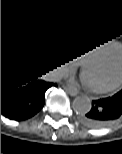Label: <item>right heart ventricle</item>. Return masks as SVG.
<instances>
[{
    "instance_id": "right-heart-ventricle-1",
    "label": "right heart ventricle",
    "mask_w": 122,
    "mask_h": 154,
    "mask_svg": "<svg viewBox=\"0 0 122 154\" xmlns=\"http://www.w3.org/2000/svg\"><path fill=\"white\" fill-rule=\"evenodd\" d=\"M110 45L111 43L109 42L88 43L87 45L76 47L75 49L72 50V53L74 57L80 61L90 56H93L99 53L100 51H103L104 49L108 48Z\"/></svg>"
}]
</instances>
